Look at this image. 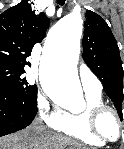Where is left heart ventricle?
Segmentation results:
<instances>
[{"label":"left heart ventricle","mask_w":124,"mask_h":149,"mask_svg":"<svg viewBox=\"0 0 124 149\" xmlns=\"http://www.w3.org/2000/svg\"><path fill=\"white\" fill-rule=\"evenodd\" d=\"M101 131L110 139H115L118 135V124L114 116L110 113L105 114L100 120Z\"/></svg>","instance_id":"1"}]
</instances>
